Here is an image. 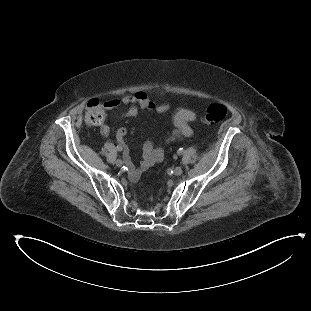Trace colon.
I'll use <instances>...</instances> for the list:
<instances>
[{
	"instance_id": "obj_1",
	"label": "colon",
	"mask_w": 311,
	"mask_h": 311,
	"mask_svg": "<svg viewBox=\"0 0 311 311\" xmlns=\"http://www.w3.org/2000/svg\"><path fill=\"white\" fill-rule=\"evenodd\" d=\"M108 106L105 103H100L98 101H91L87 104V109L85 113V119L89 124L93 125H104L105 123V111ZM228 110L225 106L220 104H214L208 107L202 112L201 119L203 123L216 124L220 122L226 115Z\"/></svg>"
}]
</instances>
